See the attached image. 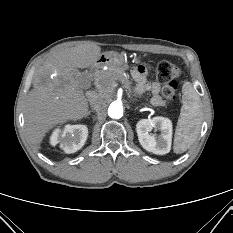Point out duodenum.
Returning a JSON list of instances; mask_svg holds the SVG:
<instances>
[{"label":"duodenum","instance_id":"1","mask_svg":"<svg viewBox=\"0 0 233 233\" xmlns=\"http://www.w3.org/2000/svg\"><path fill=\"white\" fill-rule=\"evenodd\" d=\"M102 61H104V60H97V61L95 62V64H94V66H95V67H98V66L102 63Z\"/></svg>","mask_w":233,"mask_h":233}]
</instances>
